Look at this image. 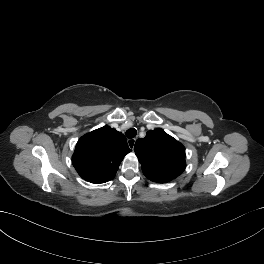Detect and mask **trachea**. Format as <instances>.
Listing matches in <instances>:
<instances>
[{
    "label": "trachea",
    "mask_w": 264,
    "mask_h": 264,
    "mask_svg": "<svg viewBox=\"0 0 264 264\" xmlns=\"http://www.w3.org/2000/svg\"><path fill=\"white\" fill-rule=\"evenodd\" d=\"M136 134H137V130L134 129V128H130V129H128V130L126 131V136H127L128 138H134V137L136 136Z\"/></svg>",
    "instance_id": "trachea-1"
}]
</instances>
